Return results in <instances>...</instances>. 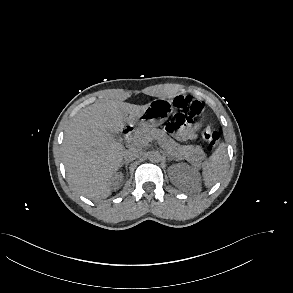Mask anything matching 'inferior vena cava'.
<instances>
[{"label":"inferior vena cava","mask_w":293,"mask_h":293,"mask_svg":"<svg viewBox=\"0 0 293 293\" xmlns=\"http://www.w3.org/2000/svg\"><path fill=\"white\" fill-rule=\"evenodd\" d=\"M141 155H142V150L140 148L131 147L124 152L123 157H124L125 161L131 162V161L141 157Z\"/></svg>","instance_id":"1"}]
</instances>
